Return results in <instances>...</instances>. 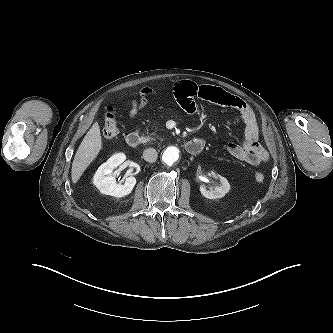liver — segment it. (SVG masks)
I'll return each instance as SVG.
<instances>
[{
    "mask_svg": "<svg viewBox=\"0 0 333 333\" xmlns=\"http://www.w3.org/2000/svg\"><path fill=\"white\" fill-rule=\"evenodd\" d=\"M101 147L100 127L95 122L83 138L75 154L71 169V177L74 184L78 182L83 172L99 154Z\"/></svg>",
    "mask_w": 333,
    "mask_h": 333,
    "instance_id": "obj_1",
    "label": "liver"
}]
</instances>
